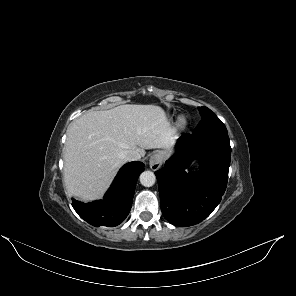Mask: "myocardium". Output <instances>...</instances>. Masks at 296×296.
Here are the masks:
<instances>
[{
    "label": "myocardium",
    "instance_id": "f54148a6",
    "mask_svg": "<svg viewBox=\"0 0 296 296\" xmlns=\"http://www.w3.org/2000/svg\"><path fill=\"white\" fill-rule=\"evenodd\" d=\"M186 122H187V118L185 116H180L177 121L179 126H183L184 124H186Z\"/></svg>",
    "mask_w": 296,
    "mask_h": 296
}]
</instances>
